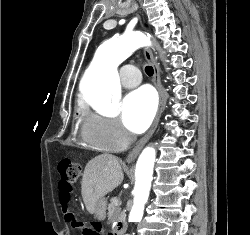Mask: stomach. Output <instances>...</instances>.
<instances>
[{
	"mask_svg": "<svg viewBox=\"0 0 250 235\" xmlns=\"http://www.w3.org/2000/svg\"><path fill=\"white\" fill-rule=\"evenodd\" d=\"M106 206L107 200L105 198H101L98 200L95 206L94 215L98 220H104L106 217Z\"/></svg>",
	"mask_w": 250,
	"mask_h": 235,
	"instance_id": "0dacf381",
	"label": "stomach"
}]
</instances>
